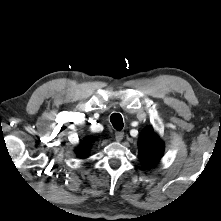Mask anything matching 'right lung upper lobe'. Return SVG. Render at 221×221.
I'll use <instances>...</instances> for the list:
<instances>
[{
  "label": "right lung upper lobe",
  "mask_w": 221,
  "mask_h": 221,
  "mask_svg": "<svg viewBox=\"0 0 221 221\" xmlns=\"http://www.w3.org/2000/svg\"><path fill=\"white\" fill-rule=\"evenodd\" d=\"M91 146V140H85L76 149V153L81 158H86L88 156V151Z\"/></svg>",
  "instance_id": "1"
}]
</instances>
